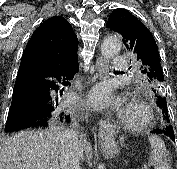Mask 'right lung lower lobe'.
I'll use <instances>...</instances> for the list:
<instances>
[{"instance_id": "1", "label": "right lung lower lobe", "mask_w": 177, "mask_h": 169, "mask_svg": "<svg viewBox=\"0 0 177 169\" xmlns=\"http://www.w3.org/2000/svg\"><path fill=\"white\" fill-rule=\"evenodd\" d=\"M71 67L20 64L5 126L6 132L69 122L59 89L78 72Z\"/></svg>"}]
</instances>
